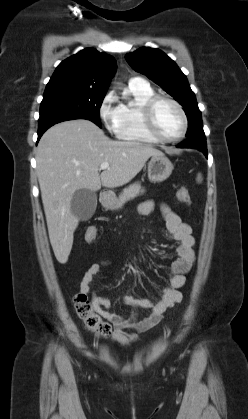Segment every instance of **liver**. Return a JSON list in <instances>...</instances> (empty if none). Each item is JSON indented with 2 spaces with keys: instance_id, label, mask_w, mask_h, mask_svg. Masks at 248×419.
I'll use <instances>...</instances> for the list:
<instances>
[{
  "instance_id": "6515ba94",
  "label": "liver",
  "mask_w": 248,
  "mask_h": 419,
  "mask_svg": "<svg viewBox=\"0 0 248 419\" xmlns=\"http://www.w3.org/2000/svg\"><path fill=\"white\" fill-rule=\"evenodd\" d=\"M154 155L164 154L148 144L111 140L85 119L56 124L44 133L36 150V171L49 239L59 263L68 261L79 223L71 212L74 193L123 186ZM104 162L109 168L100 174Z\"/></svg>"
}]
</instances>
